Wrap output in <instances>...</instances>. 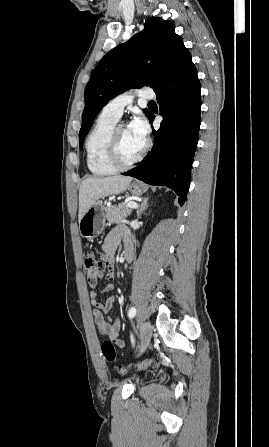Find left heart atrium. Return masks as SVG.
<instances>
[{
	"instance_id": "obj_1",
	"label": "left heart atrium",
	"mask_w": 269,
	"mask_h": 447,
	"mask_svg": "<svg viewBox=\"0 0 269 447\" xmlns=\"http://www.w3.org/2000/svg\"><path fill=\"white\" fill-rule=\"evenodd\" d=\"M129 127L144 139H146L149 134L148 124L141 114H137L133 117Z\"/></svg>"
}]
</instances>
